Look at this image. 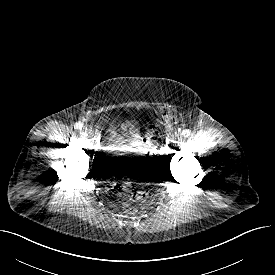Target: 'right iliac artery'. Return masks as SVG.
<instances>
[{"label": "right iliac artery", "mask_w": 275, "mask_h": 275, "mask_svg": "<svg viewBox=\"0 0 275 275\" xmlns=\"http://www.w3.org/2000/svg\"><path fill=\"white\" fill-rule=\"evenodd\" d=\"M75 129L81 130L83 128V124L82 123H75L74 125Z\"/></svg>", "instance_id": "obj_1"}]
</instances>
